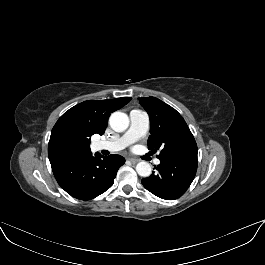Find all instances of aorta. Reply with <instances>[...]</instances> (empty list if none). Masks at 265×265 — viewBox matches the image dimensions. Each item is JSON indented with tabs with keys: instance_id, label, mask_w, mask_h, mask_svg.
Wrapping results in <instances>:
<instances>
[{
	"instance_id": "aorta-1",
	"label": "aorta",
	"mask_w": 265,
	"mask_h": 265,
	"mask_svg": "<svg viewBox=\"0 0 265 265\" xmlns=\"http://www.w3.org/2000/svg\"><path fill=\"white\" fill-rule=\"evenodd\" d=\"M109 124L113 130L122 132L128 128L129 118L127 114L116 111L111 114L109 118ZM136 171L140 176L148 177L151 175L152 167L148 162L141 161L136 165Z\"/></svg>"
}]
</instances>
